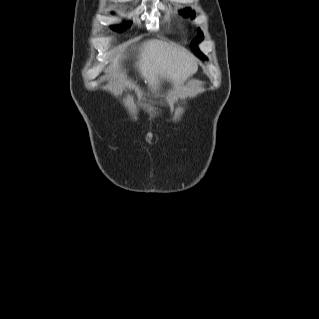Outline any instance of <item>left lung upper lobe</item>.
<instances>
[{
	"mask_svg": "<svg viewBox=\"0 0 319 319\" xmlns=\"http://www.w3.org/2000/svg\"><path fill=\"white\" fill-rule=\"evenodd\" d=\"M181 14H184L186 17H188L189 15L191 16V18H194V11L190 13V10L189 9H184L180 12ZM203 39V34L201 32L200 29H198L197 31V37L193 40L192 44H191V49L193 50V52L196 54V55H200L202 54L198 47H197V43L200 42L201 40Z\"/></svg>",
	"mask_w": 319,
	"mask_h": 319,
	"instance_id": "left-lung-upper-lobe-1",
	"label": "left lung upper lobe"
}]
</instances>
